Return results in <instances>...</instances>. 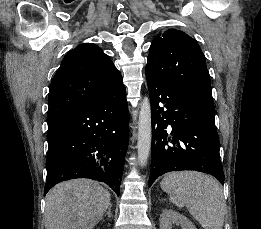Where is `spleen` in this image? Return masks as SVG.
<instances>
[{"label":"spleen","instance_id":"1","mask_svg":"<svg viewBox=\"0 0 261 229\" xmlns=\"http://www.w3.org/2000/svg\"><path fill=\"white\" fill-rule=\"evenodd\" d=\"M161 189L176 207H187L203 229H222L225 201L219 183L197 171H172L162 179Z\"/></svg>","mask_w":261,"mask_h":229}]
</instances>
